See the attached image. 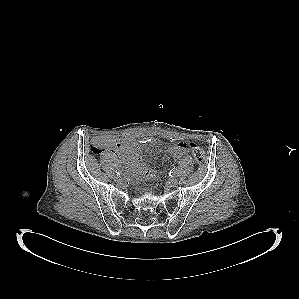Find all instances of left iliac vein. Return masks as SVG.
<instances>
[{
    "instance_id": "left-iliac-vein-1",
    "label": "left iliac vein",
    "mask_w": 299,
    "mask_h": 299,
    "mask_svg": "<svg viewBox=\"0 0 299 299\" xmlns=\"http://www.w3.org/2000/svg\"><path fill=\"white\" fill-rule=\"evenodd\" d=\"M178 184V179L176 177H172L168 180V185L174 187Z\"/></svg>"
}]
</instances>
